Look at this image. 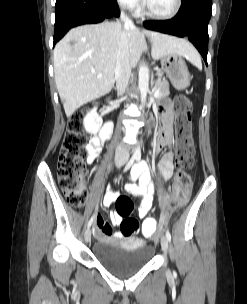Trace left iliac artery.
<instances>
[{
	"label": "left iliac artery",
	"mask_w": 247,
	"mask_h": 304,
	"mask_svg": "<svg viewBox=\"0 0 247 304\" xmlns=\"http://www.w3.org/2000/svg\"><path fill=\"white\" fill-rule=\"evenodd\" d=\"M136 160L139 161L140 157H136ZM166 237L168 238L169 241H171V234H170L169 230H166Z\"/></svg>",
	"instance_id": "44dca946"
}]
</instances>
